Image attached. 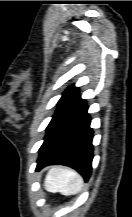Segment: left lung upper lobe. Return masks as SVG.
<instances>
[{"label": "left lung upper lobe", "mask_w": 132, "mask_h": 217, "mask_svg": "<svg viewBox=\"0 0 132 217\" xmlns=\"http://www.w3.org/2000/svg\"><path fill=\"white\" fill-rule=\"evenodd\" d=\"M79 97V88L74 87L73 85L68 87L67 90L63 93L61 99L58 102V108L53 116L51 122L73 101ZM50 122V123H51Z\"/></svg>", "instance_id": "left-lung-upper-lobe-1"}]
</instances>
